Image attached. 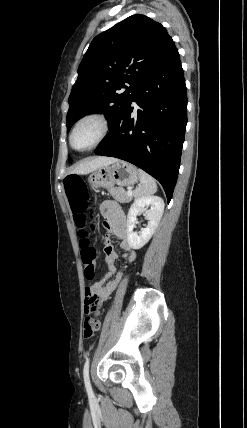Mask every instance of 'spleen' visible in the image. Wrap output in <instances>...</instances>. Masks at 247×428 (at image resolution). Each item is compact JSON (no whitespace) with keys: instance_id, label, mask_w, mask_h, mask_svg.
Masks as SVG:
<instances>
[{"instance_id":"obj_1","label":"spleen","mask_w":247,"mask_h":428,"mask_svg":"<svg viewBox=\"0 0 247 428\" xmlns=\"http://www.w3.org/2000/svg\"><path fill=\"white\" fill-rule=\"evenodd\" d=\"M139 178H140V184L134 191V197H145L150 196L157 191V185L155 180L146 172L139 169Z\"/></svg>"}]
</instances>
